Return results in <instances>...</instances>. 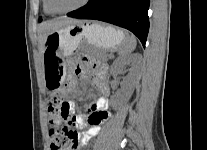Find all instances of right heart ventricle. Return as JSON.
<instances>
[{"label":"right heart ventricle","mask_w":207,"mask_h":150,"mask_svg":"<svg viewBox=\"0 0 207 150\" xmlns=\"http://www.w3.org/2000/svg\"><path fill=\"white\" fill-rule=\"evenodd\" d=\"M43 10H44V12L46 13V14H48V15H51V14H53L49 9H48V7H47V4H46V1L45 0H43Z\"/></svg>","instance_id":"e07e8e85"}]
</instances>
